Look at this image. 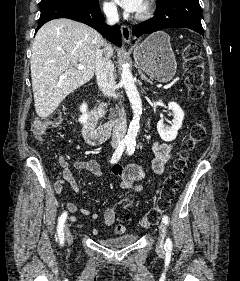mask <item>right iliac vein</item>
<instances>
[{"label":"right iliac vein","instance_id":"1","mask_svg":"<svg viewBox=\"0 0 240 281\" xmlns=\"http://www.w3.org/2000/svg\"><path fill=\"white\" fill-rule=\"evenodd\" d=\"M65 232H66V240L68 243H71L72 242V234L69 230V227H68V224L66 225V228H65Z\"/></svg>","mask_w":240,"mask_h":281}]
</instances>
